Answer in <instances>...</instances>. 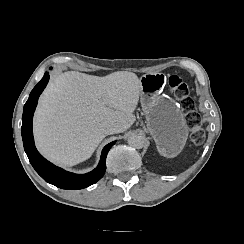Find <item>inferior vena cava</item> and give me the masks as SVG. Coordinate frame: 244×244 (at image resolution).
<instances>
[{"label": "inferior vena cava", "instance_id": "inferior-vena-cava-1", "mask_svg": "<svg viewBox=\"0 0 244 244\" xmlns=\"http://www.w3.org/2000/svg\"><path fill=\"white\" fill-rule=\"evenodd\" d=\"M114 133H117L116 126H114L113 124L107 123L104 126V134L105 135H110V134H114Z\"/></svg>", "mask_w": 244, "mask_h": 244}]
</instances>
